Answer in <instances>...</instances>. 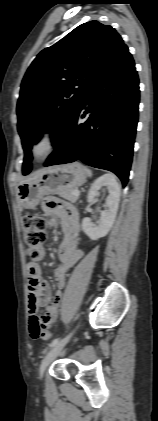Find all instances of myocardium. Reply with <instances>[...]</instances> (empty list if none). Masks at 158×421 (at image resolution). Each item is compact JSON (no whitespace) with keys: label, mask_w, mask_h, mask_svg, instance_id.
Returning <instances> with one entry per match:
<instances>
[{"label":"myocardium","mask_w":158,"mask_h":421,"mask_svg":"<svg viewBox=\"0 0 158 421\" xmlns=\"http://www.w3.org/2000/svg\"><path fill=\"white\" fill-rule=\"evenodd\" d=\"M59 133L53 126L43 127L34 137L30 153L34 160L41 161L51 155L58 146Z\"/></svg>","instance_id":"obj_1"}]
</instances>
